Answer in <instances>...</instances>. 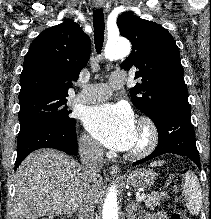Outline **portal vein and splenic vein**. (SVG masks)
<instances>
[{
    "label": "portal vein and splenic vein",
    "mask_w": 211,
    "mask_h": 219,
    "mask_svg": "<svg viewBox=\"0 0 211 219\" xmlns=\"http://www.w3.org/2000/svg\"><path fill=\"white\" fill-rule=\"evenodd\" d=\"M147 196V193H141L140 195L136 196V201L137 202H140L142 201L143 199H145Z\"/></svg>",
    "instance_id": "obj_1"
}]
</instances>
